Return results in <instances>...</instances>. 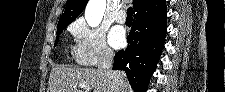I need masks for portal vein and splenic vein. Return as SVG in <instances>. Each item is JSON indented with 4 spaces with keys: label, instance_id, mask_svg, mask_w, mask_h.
Masks as SVG:
<instances>
[{
    "label": "portal vein and splenic vein",
    "instance_id": "portal-vein-and-splenic-vein-1",
    "mask_svg": "<svg viewBox=\"0 0 225 92\" xmlns=\"http://www.w3.org/2000/svg\"><path fill=\"white\" fill-rule=\"evenodd\" d=\"M74 88H83V89H85L86 92H88L90 90V87L86 84L74 85Z\"/></svg>",
    "mask_w": 225,
    "mask_h": 92
}]
</instances>
